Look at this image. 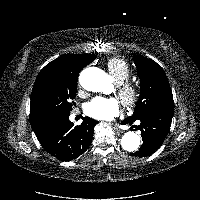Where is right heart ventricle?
Wrapping results in <instances>:
<instances>
[{
  "label": "right heart ventricle",
  "mask_w": 200,
  "mask_h": 200,
  "mask_svg": "<svg viewBox=\"0 0 200 200\" xmlns=\"http://www.w3.org/2000/svg\"><path fill=\"white\" fill-rule=\"evenodd\" d=\"M107 68L117 84L127 81L131 76L128 62L122 58H111L107 61Z\"/></svg>",
  "instance_id": "e07e8e85"
}]
</instances>
